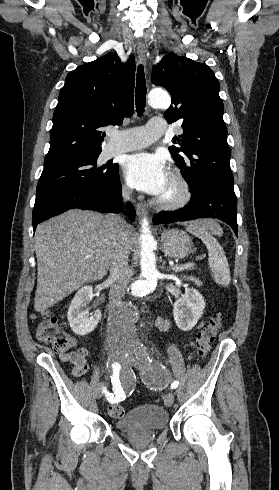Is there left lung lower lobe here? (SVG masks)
I'll list each match as a JSON object with an SVG mask.
<instances>
[{
	"mask_svg": "<svg viewBox=\"0 0 279 490\" xmlns=\"http://www.w3.org/2000/svg\"><path fill=\"white\" fill-rule=\"evenodd\" d=\"M237 198L233 184L215 179H201L191 190L189 204L174 212H160L153 220L154 224H168L197 218H217L231 226L238 236Z\"/></svg>",
	"mask_w": 279,
	"mask_h": 490,
	"instance_id": "left-lung-lower-lobe-1",
	"label": "left lung lower lobe"
}]
</instances>
